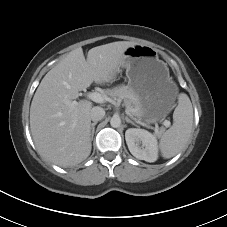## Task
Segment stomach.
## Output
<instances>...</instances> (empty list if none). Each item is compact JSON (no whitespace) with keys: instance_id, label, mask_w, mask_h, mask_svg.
I'll use <instances>...</instances> for the list:
<instances>
[{"instance_id":"0dacf381","label":"stomach","mask_w":227,"mask_h":227,"mask_svg":"<svg viewBox=\"0 0 227 227\" xmlns=\"http://www.w3.org/2000/svg\"><path fill=\"white\" fill-rule=\"evenodd\" d=\"M121 66L126 69L129 88L138 99L139 118L146 124L165 118L173 107L178 87L167 64L159 59L158 51L142 44L130 46L124 52Z\"/></svg>"}]
</instances>
